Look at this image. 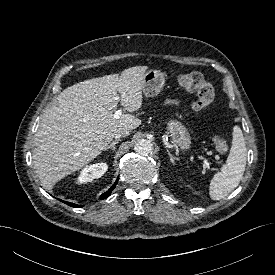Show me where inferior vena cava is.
Masks as SVG:
<instances>
[{"mask_svg": "<svg viewBox=\"0 0 275 275\" xmlns=\"http://www.w3.org/2000/svg\"><path fill=\"white\" fill-rule=\"evenodd\" d=\"M129 134H130V130L122 129V130L118 131L117 133H115L114 137L115 138L126 137Z\"/></svg>", "mask_w": 275, "mask_h": 275, "instance_id": "obj_1", "label": "inferior vena cava"}]
</instances>
